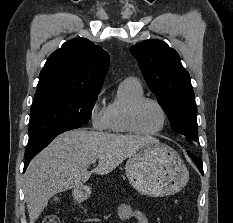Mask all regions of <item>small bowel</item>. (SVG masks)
<instances>
[{"label":"small bowel","instance_id":"obj_1","mask_svg":"<svg viewBox=\"0 0 233 223\" xmlns=\"http://www.w3.org/2000/svg\"><path fill=\"white\" fill-rule=\"evenodd\" d=\"M118 216L123 221L134 219L136 223H149L148 218L143 212L131 207L128 204H122L119 206Z\"/></svg>","mask_w":233,"mask_h":223}]
</instances>
